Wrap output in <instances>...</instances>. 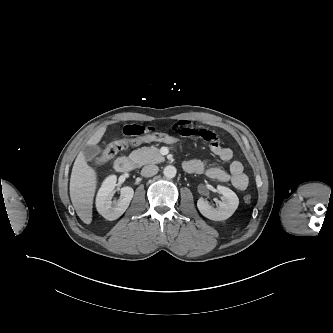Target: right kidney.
<instances>
[{"label": "right kidney", "instance_id": "right-kidney-1", "mask_svg": "<svg viewBox=\"0 0 333 333\" xmlns=\"http://www.w3.org/2000/svg\"><path fill=\"white\" fill-rule=\"evenodd\" d=\"M116 180L115 175L107 177L96 197L97 211L109 221L116 220L126 211L134 195L131 187H123L120 189V198L112 202V192L117 186Z\"/></svg>", "mask_w": 333, "mask_h": 333}]
</instances>
